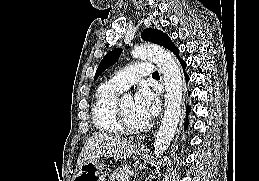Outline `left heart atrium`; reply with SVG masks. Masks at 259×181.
<instances>
[{
	"label": "left heart atrium",
	"instance_id": "1",
	"mask_svg": "<svg viewBox=\"0 0 259 181\" xmlns=\"http://www.w3.org/2000/svg\"><path fill=\"white\" fill-rule=\"evenodd\" d=\"M135 110L138 116L145 122L154 119L160 109V100L156 93L147 87L140 89L134 100Z\"/></svg>",
	"mask_w": 259,
	"mask_h": 181
}]
</instances>
